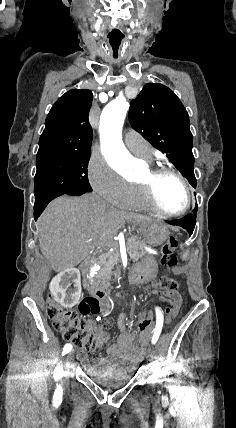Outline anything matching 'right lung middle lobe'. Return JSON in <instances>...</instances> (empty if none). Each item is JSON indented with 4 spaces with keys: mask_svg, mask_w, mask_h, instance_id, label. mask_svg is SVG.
<instances>
[{
    "mask_svg": "<svg viewBox=\"0 0 236 428\" xmlns=\"http://www.w3.org/2000/svg\"><path fill=\"white\" fill-rule=\"evenodd\" d=\"M89 159L90 153H38L35 202L54 195L91 192L87 175Z\"/></svg>",
    "mask_w": 236,
    "mask_h": 428,
    "instance_id": "right-lung-middle-lobe-1",
    "label": "right lung middle lobe"
}]
</instances>
